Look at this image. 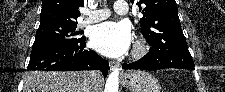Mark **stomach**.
<instances>
[{
  "label": "stomach",
  "mask_w": 225,
  "mask_h": 92,
  "mask_svg": "<svg viewBox=\"0 0 225 92\" xmlns=\"http://www.w3.org/2000/svg\"><path fill=\"white\" fill-rule=\"evenodd\" d=\"M122 81L123 85L131 92H161L159 81L146 72L134 71L126 73Z\"/></svg>",
  "instance_id": "1"
}]
</instances>
